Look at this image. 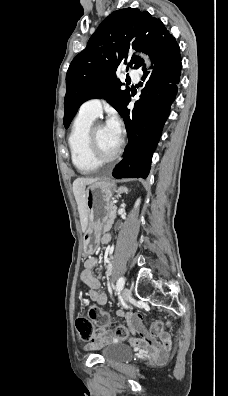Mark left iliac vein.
Listing matches in <instances>:
<instances>
[{"instance_id":"left-iliac-vein-1","label":"left iliac vein","mask_w":228,"mask_h":396,"mask_svg":"<svg viewBox=\"0 0 228 396\" xmlns=\"http://www.w3.org/2000/svg\"><path fill=\"white\" fill-rule=\"evenodd\" d=\"M122 296L124 300H128L131 297V290L127 287H125L122 291Z\"/></svg>"}]
</instances>
